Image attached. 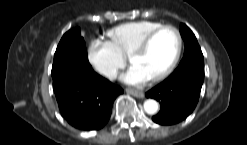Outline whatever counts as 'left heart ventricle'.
<instances>
[{
  "label": "left heart ventricle",
  "instance_id": "left-heart-ventricle-1",
  "mask_svg": "<svg viewBox=\"0 0 247 145\" xmlns=\"http://www.w3.org/2000/svg\"><path fill=\"white\" fill-rule=\"evenodd\" d=\"M177 47L173 31L163 30L151 41L148 48L132 58V64L150 78L163 70L172 60Z\"/></svg>",
  "mask_w": 247,
  "mask_h": 145
}]
</instances>
